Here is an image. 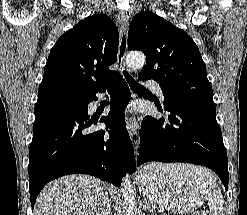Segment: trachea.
I'll use <instances>...</instances> for the list:
<instances>
[{"label":"trachea","instance_id":"3493384b","mask_svg":"<svg viewBox=\"0 0 247 215\" xmlns=\"http://www.w3.org/2000/svg\"><path fill=\"white\" fill-rule=\"evenodd\" d=\"M123 75L125 77V79L127 80L130 88L133 91H148L145 87L141 86L140 84H138L129 74L127 71H123Z\"/></svg>","mask_w":247,"mask_h":215}]
</instances>
